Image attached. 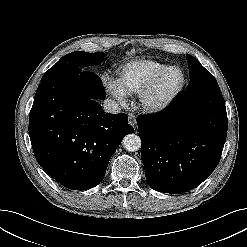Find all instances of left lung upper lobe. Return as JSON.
<instances>
[{
    "label": "left lung upper lobe",
    "instance_id": "1",
    "mask_svg": "<svg viewBox=\"0 0 247 247\" xmlns=\"http://www.w3.org/2000/svg\"><path fill=\"white\" fill-rule=\"evenodd\" d=\"M186 59L188 61L189 67V76L190 80L198 79L202 76V74L209 73L199 61H197L193 56L186 55ZM190 87V82L187 89ZM186 89V90H187Z\"/></svg>",
    "mask_w": 247,
    "mask_h": 247
}]
</instances>
